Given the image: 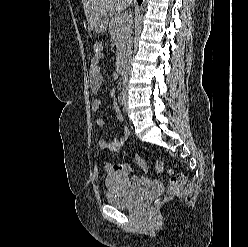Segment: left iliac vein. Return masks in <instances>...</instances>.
<instances>
[{"instance_id": "left-iliac-vein-1", "label": "left iliac vein", "mask_w": 248, "mask_h": 247, "mask_svg": "<svg viewBox=\"0 0 248 247\" xmlns=\"http://www.w3.org/2000/svg\"><path fill=\"white\" fill-rule=\"evenodd\" d=\"M124 110L127 111V94H124Z\"/></svg>"}]
</instances>
